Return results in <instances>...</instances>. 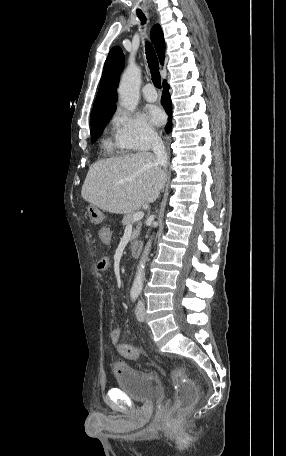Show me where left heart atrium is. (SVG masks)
I'll list each match as a JSON object with an SVG mask.
<instances>
[{"label":"left heart atrium","mask_w":286,"mask_h":456,"mask_svg":"<svg viewBox=\"0 0 286 456\" xmlns=\"http://www.w3.org/2000/svg\"><path fill=\"white\" fill-rule=\"evenodd\" d=\"M147 117L149 121L156 126L161 125L165 120L163 111L157 106H149L147 108Z\"/></svg>","instance_id":"obj_1"}]
</instances>
